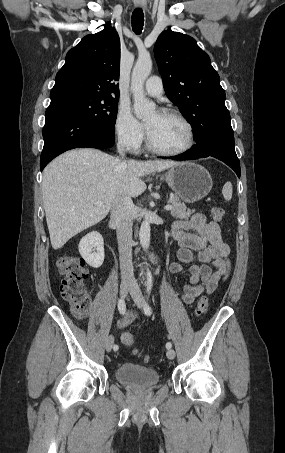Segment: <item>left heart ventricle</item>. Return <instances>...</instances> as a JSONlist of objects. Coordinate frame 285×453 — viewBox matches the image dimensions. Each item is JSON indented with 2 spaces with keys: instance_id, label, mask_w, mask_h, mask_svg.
<instances>
[{
  "instance_id": "1",
  "label": "left heart ventricle",
  "mask_w": 285,
  "mask_h": 453,
  "mask_svg": "<svg viewBox=\"0 0 285 453\" xmlns=\"http://www.w3.org/2000/svg\"><path fill=\"white\" fill-rule=\"evenodd\" d=\"M145 124L154 144L162 149L177 150L188 141L186 127L176 118L152 113Z\"/></svg>"
}]
</instances>
